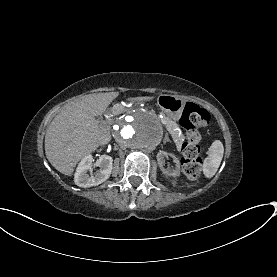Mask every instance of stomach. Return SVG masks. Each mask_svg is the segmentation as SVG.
I'll return each mask as SVG.
<instances>
[{"label":"stomach","mask_w":277,"mask_h":277,"mask_svg":"<svg viewBox=\"0 0 277 277\" xmlns=\"http://www.w3.org/2000/svg\"><path fill=\"white\" fill-rule=\"evenodd\" d=\"M157 103L161 110L171 119L178 118L185 106V101L176 96L167 94L160 95L157 99Z\"/></svg>","instance_id":"stomach-1"}]
</instances>
